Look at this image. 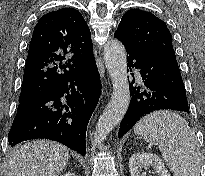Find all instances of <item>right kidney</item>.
<instances>
[{
	"mask_svg": "<svg viewBox=\"0 0 205 176\" xmlns=\"http://www.w3.org/2000/svg\"><path fill=\"white\" fill-rule=\"evenodd\" d=\"M61 176H76V175H75V174H73V173L68 172V173L63 174V175H61Z\"/></svg>",
	"mask_w": 205,
	"mask_h": 176,
	"instance_id": "obj_1",
	"label": "right kidney"
}]
</instances>
